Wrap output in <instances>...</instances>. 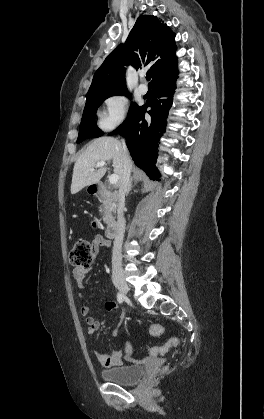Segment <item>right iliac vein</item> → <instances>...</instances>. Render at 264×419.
<instances>
[{"label": "right iliac vein", "mask_w": 264, "mask_h": 419, "mask_svg": "<svg viewBox=\"0 0 264 419\" xmlns=\"http://www.w3.org/2000/svg\"><path fill=\"white\" fill-rule=\"evenodd\" d=\"M113 282L115 286L118 288V290L121 292V294L126 297L128 294L129 288L126 282L123 280V278L120 276H114Z\"/></svg>", "instance_id": "obj_1"}]
</instances>
